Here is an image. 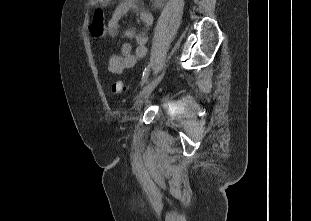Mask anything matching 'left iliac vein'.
<instances>
[{
    "mask_svg": "<svg viewBox=\"0 0 311 221\" xmlns=\"http://www.w3.org/2000/svg\"><path fill=\"white\" fill-rule=\"evenodd\" d=\"M164 72L159 75L156 79L152 80L151 82H149L139 93L136 101H135V108L138 110L141 108V106L143 105V103L148 99V97L150 96V94L152 93V91L157 87V85L161 82V80L164 77Z\"/></svg>",
    "mask_w": 311,
    "mask_h": 221,
    "instance_id": "4c4485c4",
    "label": "left iliac vein"
}]
</instances>
